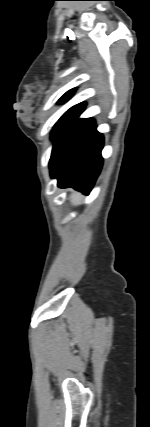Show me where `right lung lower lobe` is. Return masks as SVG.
<instances>
[{
	"label": "right lung lower lobe",
	"mask_w": 150,
	"mask_h": 427,
	"mask_svg": "<svg viewBox=\"0 0 150 427\" xmlns=\"http://www.w3.org/2000/svg\"><path fill=\"white\" fill-rule=\"evenodd\" d=\"M78 117L54 145L49 166L60 188L72 187L88 195L102 167L103 136L93 119Z\"/></svg>",
	"instance_id": "98d812e1"
}]
</instances>
